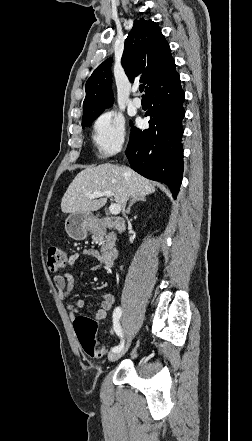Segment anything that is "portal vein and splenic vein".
<instances>
[{
	"label": "portal vein and splenic vein",
	"instance_id": "obj_1",
	"mask_svg": "<svg viewBox=\"0 0 252 441\" xmlns=\"http://www.w3.org/2000/svg\"><path fill=\"white\" fill-rule=\"evenodd\" d=\"M114 194L112 191H98L92 194H89L88 197L90 199L99 198L102 196L112 197ZM109 211L112 215H117L121 211V207L118 204H112L109 208Z\"/></svg>",
	"mask_w": 252,
	"mask_h": 441
}]
</instances>
